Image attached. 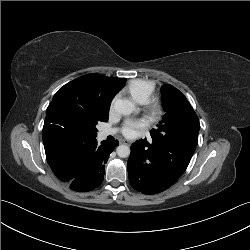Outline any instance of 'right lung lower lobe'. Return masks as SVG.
Returning a JSON list of instances; mask_svg holds the SVG:
<instances>
[{
  "instance_id": "1",
  "label": "right lung lower lobe",
  "mask_w": 250,
  "mask_h": 250,
  "mask_svg": "<svg viewBox=\"0 0 250 250\" xmlns=\"http://www.w3.org/2000/svg\"><path fill=\"white\" fill-rule=\"evenodd\" d=\"M118 145L117 140L113 143L103 141L98 145L95 138L79 142L51 169L60 181L70 186V189L79 192L90 191L102 183L104 165Z\"/></svg>"
}]
</instances>
